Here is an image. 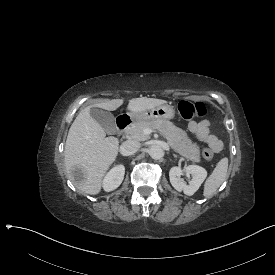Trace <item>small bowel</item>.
Instances as JSON below:
<instances>
[{
    "label": "small bowel",
    "instance_id": "obj_1",
    "mask_svg": "<svg viewBox=\"0 0 275 275\" xmlns=\"http://www.w3.org/2000/svg\"><path fill=\"white\" fill-rule=\"evenodd\" d=\"M188 128L197 141L213 148L215 152L221 151L223 144L218 137L210 133V124L208 121L204 120L199 123L190 122Z\"/></svg>",
    "mask_w": 275,
    "mask_h": 275
}]
</instances>
